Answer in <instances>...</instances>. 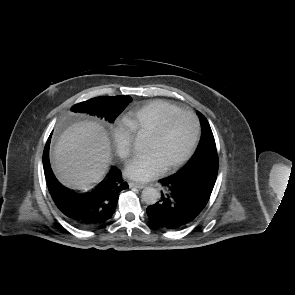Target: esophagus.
<instances>
[{
    "label": "esophagus",
    "mask_w": 295,
    "mask_h": 295,
    "mask_svg": "<svg viewBox=\"0 0 295 295\" xmlns=\"http://www.w3.org/2000/svg\"><path fill=\"white\" fill-rule=\"evenodd\" d=\"M129 186H130V188H138V189H142L145 187L144 184L138 183V182H130Z\"/></svg>",
    "instance_id": "34e87169"
}]
</instances>
